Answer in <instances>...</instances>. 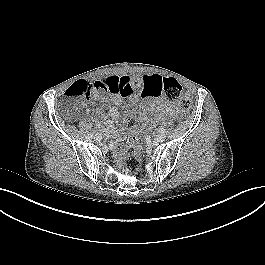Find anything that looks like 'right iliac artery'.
Listing matches in <instances>:
<instances>
[{
	"label": "right iliac artery",
	"mask_w": 265,
	"mask_h": 265,
	"mask_svg": "<svg viewBox=\"0 0 265 265\" xmlns=\"http://www.w3.org/2000/svg\"><path fill=\"white\" fill-rule=\"evenodd\" d=\"M88 138H93V133H89Z\"/></svg>",
	"instance_id": "obj_1"
}]
</instances>
